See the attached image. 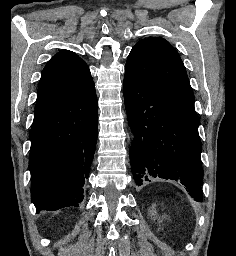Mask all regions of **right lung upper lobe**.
Segmentation results:
<instances>
[{"label":"right lung upper lobe","instance_id":"1","mask_svg":"<svg viewBox=\"0 0 236 256\" xmlns=\"http://www.w3.org/2000/svg\"><path fill=\"white\" fill-rule=\"evenodd\" d=\"M91 82L93 80L88 66L74 52L62 50L55 54L42 71L35 116L56 106Z\"/></svg>","mask_w":236,"mask_h":256}]
</instances>
